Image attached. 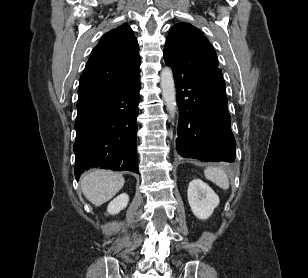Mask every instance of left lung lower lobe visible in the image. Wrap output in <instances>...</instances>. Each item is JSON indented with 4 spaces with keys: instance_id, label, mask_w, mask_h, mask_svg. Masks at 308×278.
<instances>
[{
    "instance_id": "left-lung-lower-lobe-1",
    "label": "left lung lower lobe",
    "mask_w": 308,
    "mask_h": 278,
    "mask_svg": "<svg viewBox=\"0 0 308 278\" xmlns=\"http://www.w3.org/2000/svg\"><path fill=\"white\" fill-rule=\"evenodd\" d=\"M174 80L179 107L178 154L202 161L233 162L236 142L222 71L190 77L174 75Z\"/></svg>"
}]
</instances>
